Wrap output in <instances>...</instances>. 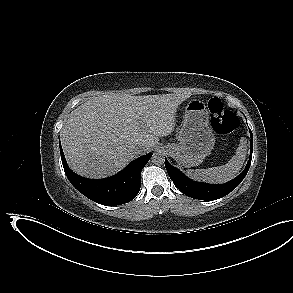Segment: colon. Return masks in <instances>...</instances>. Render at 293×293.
Returning a JSON list of instances; mask_svg holds the SVG:
<instances>
[{"label": "colon", "instance_id": "5ec220e1", "mask_svg": "<svg viewBox=\"0 0 293 293\" xmlns=\"http://www.w3.org/2000/svg\"><path fill=\"white\" fill-rule=\"evenodd\" d=\"M208 109L211 114V126L217 133L228 135L239 127L240 121L237 115L226 109L220 99H210Z\"/></svg>", "mask_w": 293, "mask_h": 293}]
</instances>
